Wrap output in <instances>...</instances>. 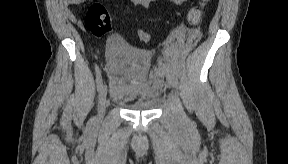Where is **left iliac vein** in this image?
I'll return each mask as SVG.
<instances>
[{
	"label": "left iliac vein",
	"mask_w": 288,
	"mask_h": 164,
	"mask_svg": "<svg viewBox=\"0 0 288 164\" xmlns=\"http://www.w3.org/2000/svg\"><path fill=\"white\" fill-rule=\"evenodd\" d=\"M168 81L169 83L171 84L172 88L175 89V90H178V82H177V79L173 76H170L168 78Z\"/></svg>",
	"instance_id": "obj_1"
}]
</instances>
